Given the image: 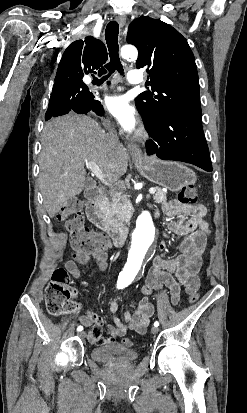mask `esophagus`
I'll return each instance as SVG.
<instances>
[{
  "label": "esophagus",
  "instance_id": "34e87169",
  "mask_svg": "<svg viewBox=\"0 0 247 413\" xmlns=\"http://www.w3.org/2000/svg\"><path fill=\"white\" fill-rule=\"evenodd\" d=\"M116 22H118L119 26L123 28L126 23V17L124 15H118L116 17ZM127 148L134 160L141 157L142 149L136 145V143H127Z\"/></svg>",
  "mask_w": 247,
  "mask_h": 413
}]
</instances>
